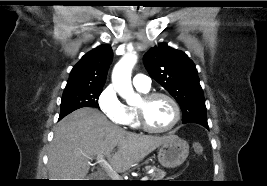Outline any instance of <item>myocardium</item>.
I'll return each mask as SVG.
<instances>
[{
	"instance_id": "myocardium-1",
	"label": "myocardium",
	"mask_w": 267,
	"mask_h": 186,
	"mask_svg": "<svg viewBox=\"0 0 267 186\" xmlns=\"http://www.w3.org/2000/svg\"><path fill=\"white\" fill-rule=\"evenodd\" d=\"M158 97H163V98L167 99L171 103L173 110H174L173 121L171 122L170 125H168L164 128H153L148 124V122L146 120V107H147L148 103H150L152 100H154ZM136 113H137L139 127L142 128L144 131L150 132V133H165V132L171 131L172 129H174L177 126V124L179 123V121L181 119V110H180L179 104L171 95H169L168 93H165V92H147V93H145L143 95L141 104H139L136 107Z\"/></svg>"
}]
</instances>
